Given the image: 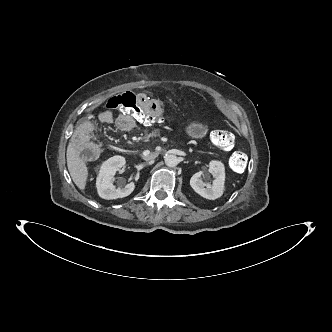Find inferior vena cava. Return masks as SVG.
Listing matches in <instances>:
<instances>
[{"instance_id": "1", "label": "inferior vena cava", "mask_w": 332, "mask_h": 332, "mask_svg": "<svg viewBox=\"0 0 332 332\" xmlns=\"http://www.w3.org/2000/svg\"><path fill=\"white\" fill-rule=\"evenodd\" d=\"M157 156H158V153L157 152H153V153H150L148 155H145L144 159L146 161H151V160H154Z\"/></svg>"}]
</instances>
